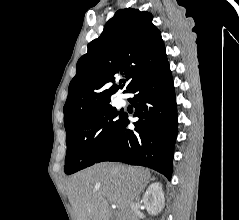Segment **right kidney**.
Returning <instances> with one entry per match:
<instances>
[{
  "label": "right kidney",
  "instance_id": "right-kidney-1",
  "mask_svg": "<svg viewBox=\"0 0 239 220\" xmlns=\"http://www.w3.org/2000/svg\"><path fill=\"white\" fill-rule=\"evenodd\" d=\"M143 202L147 211L152 215L160 213L165 205L162 184L159 182L151 184L143 196Z\"/></svg>",
  "mask_w": 239,
  "mask_h": 220
}]
</instances>
